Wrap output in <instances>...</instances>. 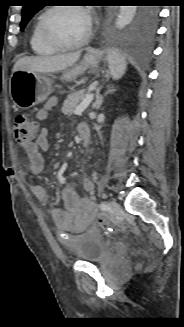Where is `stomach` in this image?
<instances>
[{
  "mask_svg": "<svg viewBox=\"0 0 184 327\" xmlns=\"http://www.w3.org/2000/svg\"><path fill=\"white\" fill-rule=\"evenodd\" d=\"M102 57L97 52H88L79 64L63 72L61 79L72 81L87 69L97 70ZM51 93V80L44 74L26 70L15 71L10 79V94L15 106L29 109L44 102Z\"/></svg>",
  "mask_w": 184,
  "mask_h": 327,
  "instance_id": "1",
  "label": "stomach"
}]
</instances>
